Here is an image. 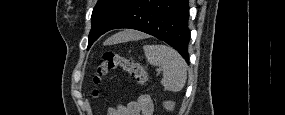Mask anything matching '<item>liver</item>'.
Wrapping results in <instances>:
<instances>
[{
	"label": "liver",
	"mask_w": 285,
	"mask_h": 115,
	"mask_svg": "<svg viewBox=\"0 0 285 115\" xmlns=\"http://www.w3.org/2000/svg\"><path fill=\"white\" fill-rule=\"evenodd\" d=\"M124 35H125V40L113 41V38H110L105 42V44L119 43V42H123V41L129 40V39H136V38L144 37L143 34H141L139 32H135V31H126V32H124Z\"/></svg>",
	"instance_id": "1"
}]
</instances>
